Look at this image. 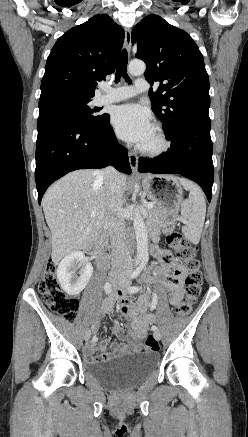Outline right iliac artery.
<instances>
[{
    "label": "right iliac artery",
    "mask_w": 248,
    "mask_h": 437,
    "mask_svg": "<svg viewBox=\"0 0 248 437\" xmlns=\"http://www.w3.org/2000/svg\"><path fill=\"white\" fill-rule=\"evenodd\" d=\"M139 263V260H137L136 265ZM104 290L106 292V294H110L112 291V287L111 284L109 282H107L104 286ZM98 340V338L96 336L92 337V341L96 342Z\"/></svg>",
    "instance_id": "1"
}]
</instances>
